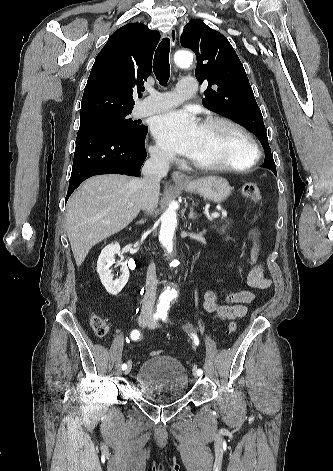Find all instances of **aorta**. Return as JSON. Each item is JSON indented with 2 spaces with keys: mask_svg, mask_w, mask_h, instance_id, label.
Segmentation results:
<instances>
[{
  "mask_svg": "<svg viewBox=\"0 0 333 471\" xmlns=\"http://www.w3.org/2000/svg\"><path fill=\"white\" fill-rule=\"evenodd\" d=\"M175 63L181 68L188 67L193 61V55L190 51H178L174 57ZM177 203H172L161 216V227L159 233V241L162 246L171 253L174 247V233L177 226ZM178 296V291L174 288L165 289L159 298L160 308H169L170 302Z\"/></svg>",
  "mask_w": 333,
  "mask_h": 471,
  "instance_id": "762f6f07",
  "label": "aorta"
}]
</instances>
